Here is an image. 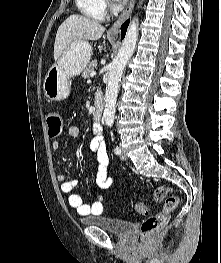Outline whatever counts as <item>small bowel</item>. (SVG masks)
Segmentation results:
<instances>
[{"mask_svg": "<svg viewBox=\"0 0 221 263\" xmlns=\"http://www.w3.org/2000/svg\"><path fill=\"white\" fill-rule=\"evenodd\" d=\"M80 129L76 125H70L67 128L68 136L75 138L79 135ZM51 149L57 153L60 150L59 141L55 140L51 143ZM90 150L95 156L97 162V170L95 175L96 184L101 189H107L112 186L114 179L108 175L107 167L109 164V156L106 150V145L100 132L95 130L94 135L90 141ZM60 183L62 193L68 197V203L72 208H75L79 215H100L103 211V198L96 191L94 196L96 200L91 204H85L81 196L74 192L78 186L79 181L76 179L69 180L65 173L60 172L56 176Z\"/></svg>", "mask_w": 221, "mask_h": 263, "instance_id": "c3829d8e", "label": "small bowel"}]
</instances>
